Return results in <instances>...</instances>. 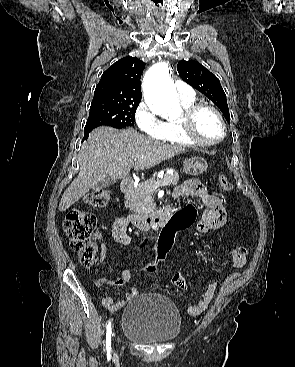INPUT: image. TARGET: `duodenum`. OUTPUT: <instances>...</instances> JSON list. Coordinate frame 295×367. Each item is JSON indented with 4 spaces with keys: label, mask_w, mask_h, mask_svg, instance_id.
I'll return each mask as SVG.
<instances>
[{
    "label": "duodenum",
    "mask_w": 295,
    "mask_h": 367,
    "mask_svg": "<svg viewBox=\"0 0 295 367\" xmlns=\"http://www.w3.org/2000/svg\"><path fill=\"white\" fill-rule=\"evenodd\" d=\"M133 189V180L126 178L121 183V191L124 194L131 192ZM174 209L171 206H166L156 212L149 214H130L129 219L133 225L139 229H149L155 226H161L167 222V219H172Z\"/></svg>",
    "instance_id": "410a0bca"
}]
</instances>
